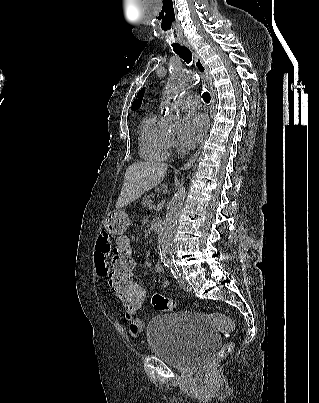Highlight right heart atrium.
<instances>
[{"label": "right heart atrium", "mask_w": 319, "mask_h": 403, "mask_svg": "<svg viewBox=\"0 0 319 403\" xmlns=\"http://www.w3.org/2000/svg\"><path fill=\"white\" fill-rule=\"evenodd\" d=\"M175 146V142L173 139H170V147H174Z\"/></svg>", "instance_id": "obj_1"}]
</instances>
